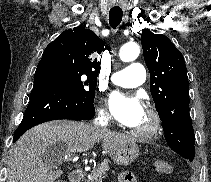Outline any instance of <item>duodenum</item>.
<instances>
[{
  "mask_svg": "<svg viewBox=\"0 0 211 182\" xmlns=\"http://www.w3.org/2000/svg\"><path fill=\"white\" fill-rule=\"evenodd\" d=\"M84 177V172L81 169L74 170L70 173V182H82Z\"/></svg>",
  "mask_w": 211,
  "mask_h": 182,
  "instance_id": "duodenum-1",
  "label": "duodenum"
}]
</instances>
